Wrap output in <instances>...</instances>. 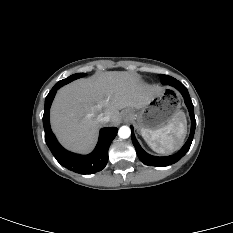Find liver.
<instances>
[{"instance_id": "obj_1", "label": "liver", "mask_w": 233, "mask_h": 233, "mask_svg": "<svg viewBox=\"0 0 233 233\" xmlns=\"http://www.w3.org/2000/svg\"><path fill=\"white\" fill-rule=\"evenodd\" d=\"M161 92L144 83L135 73L109 71L88 79L74 81L61 88L50 111L52 129L69 150L87 153L95 145L97 120L101 113L109 116L110 125L121 120L119 110L140 108Z\"/></svg>"}]
</instances>
